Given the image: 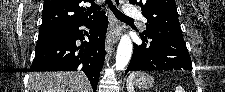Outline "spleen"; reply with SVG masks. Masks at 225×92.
<instances>
[{
  "label": "spleen",
  "mask_w": 225,
  "mask_h": 92,
  "mask_svg": "<svg viewBox=\"0 0 225 92\" xmlns=\"http://www.w3.org/2000/svg\"><path fill=\"white\" fill-rule=\"evenodd\" d=\"M134 76H135V73L133 72L127 78V84H126V86H127V91L128 92H134V87H133V78H134ZM176 92H184V90H183L182 87H177L176 88Z\"/></svg>",
  "instance_id": "obj_1"
}]
</instances>
